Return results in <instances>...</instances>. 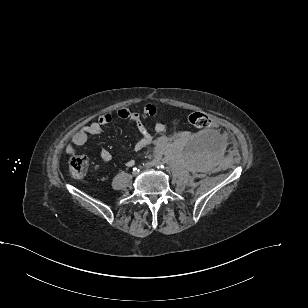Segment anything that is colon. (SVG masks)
I'll list each match as a JSON object with an SVG mask.
<instances>
[{"mask_svg": "<svg viewBox=\"0 0 308 308\" xmlns=\"http://www.w3.org/2000/svg\"><path fill=\"white\" fill-rule=\"evenodd\" d=\"M188 122L195 128H208L211 125L210 117L202 112H193L187 116ZM69 168L74 177H82L88 168V159L83 155H75L70 158Z\"/></svg>", "mask_w": 308, "mask_h": 308, "instance_id": "5ec220e1", "label": "colon"}]
</instances>
